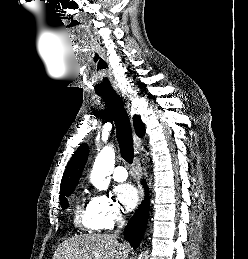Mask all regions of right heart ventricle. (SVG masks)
Listing matches in <instances>:
<instances>
[{
  "mask_svg": "<svg viewBox=\"0 0 248 259\" xmlns=\"http://www.w3.org/2000/svg\"><path fill=\"white\" fill-rule=\"evenodd\" d=\"M74 223L76 226L84 230H98L95 219L90 207V202L87 204L84 201H78L74 210Z\"/></svg>",
  "mask_w": 248,
  "mask_h": 259,
  "instance_id": "e07e8e85",
  "label": "right heart ventricle"
}]
</instances>
